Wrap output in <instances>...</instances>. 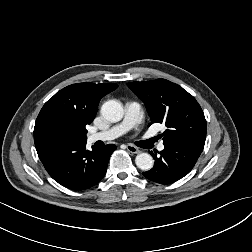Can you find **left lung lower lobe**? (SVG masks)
<instances>
[{
    "label": "left lung lower lobe",
    "instance_id": "left-lung-lower-lobe-1",
    "mask_svg": "<svg viewBox=\"0 0 252 252\" xmlns=\"http://www.w3.org/2000/svg\"><path fill=\"white\" fill-rule=\"evenodd\" d=\"M203 149L186 144L165 146L164 150L152 154L155 163L143 175L159 184L173 183L187 175L194 167Z\"/></svg>",
    "mask_w": 252,
    "mask_h": 252
}]
</instances>
